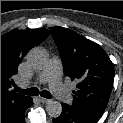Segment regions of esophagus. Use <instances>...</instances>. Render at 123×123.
Returning <instances> with one entry per match:
<instances>
[{
    "mask_svg": "<svg viewBox=\"0 0 123 123\" xmlns=\"http://www.w3.org/2000/svg\"><path fill=\"white\" fill-rule=\"evenodd\" d=\"M39 101H40L41 103H45V104H47V103H50V102H51V100H50V99H46V98H43V97H40V98H39Z\"/></svg>",
    "mask_w": 123,
    "mask_h": 123,
    "instance_id": "1",
    "label": "esophagus"
}]
</instances>
